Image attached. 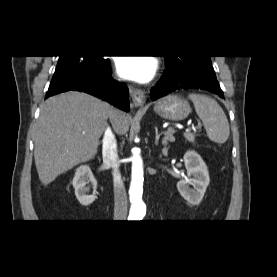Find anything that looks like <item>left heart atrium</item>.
<instances>
[{"label":"left heart atrium","mask_w":277,"mask_h":277,"mask_svg":"<svg viewBox=\"0 0 277 277\" xmlns=\"http://www.w3.org/2000/svg\"><path fill=\"white\" fill-rule=\"evenodd\" d=\"M116 69L121 77L143 83L153 77L156 62L150 57H121Z\"/></svg>","instance_id":"obj_1"}]
</instances>
